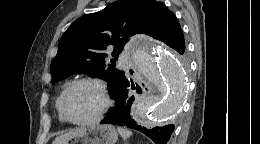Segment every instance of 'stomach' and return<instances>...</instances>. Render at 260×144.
I'll use <instances>...</instances> for the list:
<instances>
[{"instance_id":"1","label":"stomach","mask_w":260,"mask_h":144,"mask_svg":"<svg viewBox=\"0 0 260 144\" xmlns=\"http://www.w3.org/2000/svg\"><path fill=\"white\" fill-rule=\"evenodd\" d=\"M118 133L112 125H95L74 136L67 144H115Z\"/></svg>"}]
</instances>
